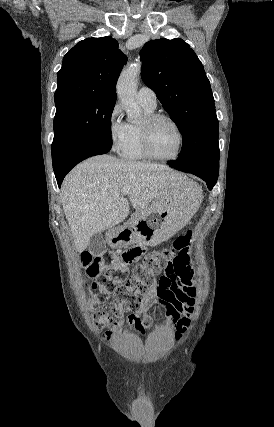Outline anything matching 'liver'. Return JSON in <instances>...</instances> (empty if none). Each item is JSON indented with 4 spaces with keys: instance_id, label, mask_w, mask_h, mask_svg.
I'll return each mask as SVG.
<instances>
[{
    "instance_id": "obj_1",
    "label": "liver",
    "mask_w": 274,
    "mask_h": 427,
    "mask_svg": "<svg viewBox=\"0 0 274 427\" xmlns=\"http://www.w3.org/2000/svg\"><path fill=\"white\" fill-rule=\"evenodd\" d=\"M173 178H185L168 166L94 156L71 170L61 186V202L77 251H83L98 231L114 227L129 214L147 210L159 196L172 194ZM175 182V180H174ZM129 188L128 200L122 190Z\"/></svg>"
}]
</instances>
